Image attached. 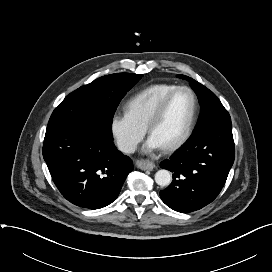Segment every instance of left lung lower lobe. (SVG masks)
I'll list each match as a JSON object with an SVG mask.
<instances>
[{"label": "left lung lower lobe", "instance_id": "1", "mask_svg": "<svg viewBox=\"0 0 272 272\" xmlns=\"http://www.w3.org/2000/svg\"><path fill=\"white\" fill-rule=\"evenodd\" d=\"M235 158L231 121L196 130L161 168L173 172V181L160 191L171 209L189 213L211 203L222 190Z\"/></svg>", "mask_w": 272, "mask_h": 272}]
</instances>
